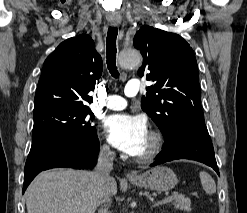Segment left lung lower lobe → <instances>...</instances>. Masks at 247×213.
<instances>
[{
	"label": "left lung lower lobe",
	"instance_id": "obj_1",
	"mask_svg": "<svg viewBox=\"0 0 247 213\" xmlns=\"http://www.w3.org/2000/svg\"><path fill=\"white\" fill-rule=\"evenodd\" d=\"M176 159H190L212 167L219 175L214 149L205 123L178 125L173 137L165 138L162 151L151 165Z\"/></svg>",
	"mask_w": 247,
	"mask_h": 213
}]
</instances>
